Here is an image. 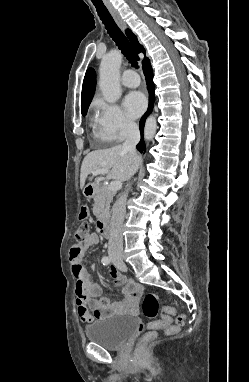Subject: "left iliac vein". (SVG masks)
Here are the masks:
<instances>
[{"label":"left iliac vein","instance_id":"1","mask_svg":"<svg viewBox=\"0 0 249 382\" xmlns=\"http://www.w3.org/2000/svg\"><path fill=\"white\" fill-rule=\"evenodd\" d=\"M114 265L121 271H126L127 267L123 262H114Z\"/></svg>","mask_w":249,"mask_h":382}]
</instances>
